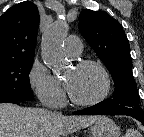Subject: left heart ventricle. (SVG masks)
<instances>
[{"label":"left heart ventricle","instance_id":"obj_1","mask_svg":"<svg viewBox=\"0 0 144 137\" xmlns=\"http://www.w3.org/2000/svg\"><path fill=\"white\" fill-rule=\"evenodd\" d=\"M64 80L73 97L82 101L98 97L104 87L102 74L93 67H72L65 73Z\"/></svg>","mask_w":144,"mask_h":137}]
</instances>
